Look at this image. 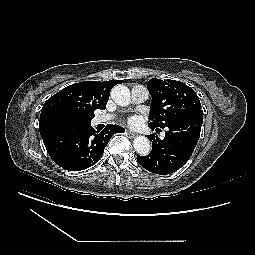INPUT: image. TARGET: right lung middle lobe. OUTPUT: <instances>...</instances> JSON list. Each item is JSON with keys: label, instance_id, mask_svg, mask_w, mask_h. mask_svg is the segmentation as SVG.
<instances>
[{"label": "right lung middle lobe", "instance_id": "obj_1", "mask_svg": "<svg viewBox=\"0 0 255 255\" xmlns=\"http://www.w3.org/2000/svg\"><path fill=\"white\" fill-rule=\"evenodd\" d=\"M92 119H87V120H84V121H76V120H61V121H58L55 125L56 126H59L61 128H64V129H71V130H74L78 127H80L83 123H88L90 122Z\"/></svg>", "mask_w": 255, "mask_h": 255}]
</instances>
